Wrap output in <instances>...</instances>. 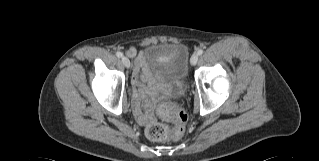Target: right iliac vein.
I'll return each instance as SVG.
<instances>
[{"instance_id": "obj_1", "label": "right iliac vein", "mask_w": 319, "mask_h": 161, "mask_svg": "<svg viewBox=\"0 0 319 161\" xmlns=\"http://www.w3.org/2000/svg\"><path fill=\"white\" fill-rule=\"evenodd\" d=\"M121 61H122L123 65H124L126 68H129V67H130L131 63H130V60H129L127 57L123 56L122 59H121Z\"/></svg>"}]
</instances>
